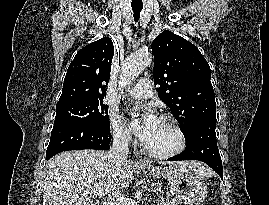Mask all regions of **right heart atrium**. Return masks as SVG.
<instances>
[{"label": "right heart atrium", "mask_w": 269, "mask_h": 205, "mask_svg": "<svg viewBox=\"0 0 269 205\" xmlns=\"http://www.w3.org/2000/svg\"><path fill=\"white\" fill-rule=\"evenodd\" d=\"M109 128L113 139L122 144L128 145L132 141V136L125 128L121 118L115 114L109 116Z\"/></svg>", "instance_id": "right-heart-atrium-1"}]
</instances>
